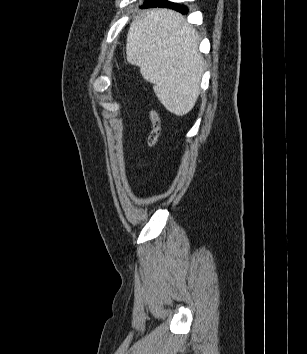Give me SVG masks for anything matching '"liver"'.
<instances>
[{"label": "liver", "mask_w": 307, "mask_h": 354, "mask_svg": "<svg viewBox=\"0 0 307 354\" xmlns=\"http://www.w3.org/2000/svg\"><path fill=\"white\" fill-rule=\"evenodd\" d=\"M199 41L183 15L165 8L139 12L128 31V61L140 67L159 101L176 116L189 113L200 94L204 60Z\"/></svg>", "instance_id": "1"}]
</instances>
